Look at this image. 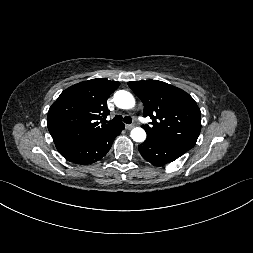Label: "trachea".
<instances>
[{
  "instance_id": "trachea-1",
  "label": "trachea",
  "mask_w": 253,
  "mask_h": 253,
  "mask_svg": "<svg viewBox=\"0 0 253 253\" xmlns=\"http://www.w3.org/2000/svg\"><path fill=\"white\" fill-rule=\"evenodd\" d=\"M124 121L126 124H131L132 118L130 116H125L124 118L121 115H116L113 120H111V123H120Z\"/></svg>"
}]
</instances>
